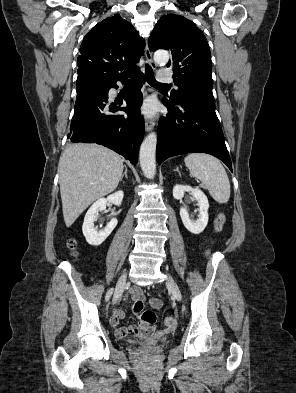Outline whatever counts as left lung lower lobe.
Listing matches in <instances>:
<instances>
[{"instance_id": "1", "label": "left lung lower lobe", "mask_w": 296, "mask_h": 393, "mask_svg": "<svg viewBox=\"0 0 296 393\" xmlns=\"http://www.w3.org/2000/svg\"><path fill=\"white\" fill-rule=\"evenodd\" d=\"M169 114L158 125L157 162L184 153H207L222 160L232 171L214 97L190 95L178 107L163 100Z\"/></svg>"}]
</instances>
